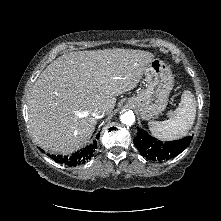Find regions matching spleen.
<instances>
[{"mask_svg": "<svg viewBox=\"0 0 221 221\" xmlns=\"http://www.w3.org/2000/svg\"><path fill=\"white\" fill-rule=\"evenodd\" d=\"M196 116V100L194 95L185 90L178 107L172 117L165 121H150L151 133L162 141H171L187 135Z\"/></svg>", "mask_w": 221, "mask_h": 221, "instance_id": "spleen-1", "label": "spleen"}]
</instances>
